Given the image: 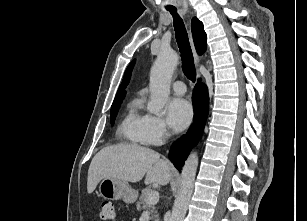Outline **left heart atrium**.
Wrapping results in <instances>:
<instances>
[{"instance_id":"1","label":"left heart atrium","mask_w":307,"mask_h":221,"mask_svg":"<svg viewBox=\"0 0 307 221\" xmlns=\"http://www.w3.org/2000/svg\"><path fill=\"white\" fill-rule=\"evenodd\" d=\"M192 108L188 101L183 98H174L167 105V121L169 126L176 132L184 130L191 122Z\"/></svg>"}]
</instances>
